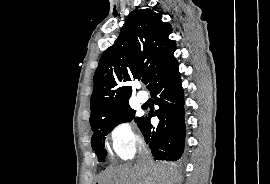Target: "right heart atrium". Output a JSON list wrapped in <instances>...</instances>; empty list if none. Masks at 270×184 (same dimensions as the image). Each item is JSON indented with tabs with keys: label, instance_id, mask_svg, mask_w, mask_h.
Masks as SVG:
<instances>
[{
	"label": "right heart atrium",
	"instance_id": "obj_1",
	"mask_svg": "<svg viewBox=\"0 0 270 184\" xmlns=\"http://www.w3.org/2000/svg\"><path fill=\"white\" fill-rule=\"evenodd\" d=\"M109 140L114 153L122 160L133 158L141 142L134 126L125 119L113 124L109 132Z\"/></svg>",
	"mask_w": 270,
	"mask_h": 184
}]
</instances>
